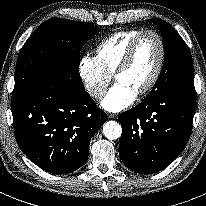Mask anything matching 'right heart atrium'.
Listing matches in <instances>:
<instances>
[{
    "instance_id": "right-heart-atrium-1",
    "label": "right heart atrium",
    "mask_w": 206,
    "mask_h": 206,
    "mask_svg": "<svg viewBox=\"0 0 206 206\" xmlns=\"http://www.w3.org/2000/svg\"><path fill=\"white\" fill-rule=\"evenodd\" d=\"M79 76L86 92L94 99L104 95L111 80V75L104 71L97 58L91 56L81 58Z\"/></svg>"
}]
</instances>
